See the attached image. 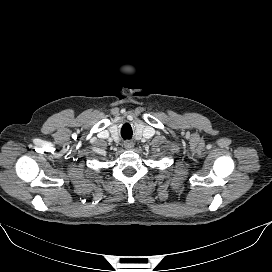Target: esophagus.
Segmentation results:
<instances>
[{"label": "esophagus", "mask_w": 272, "mask_h": 272, "mask_svg": "<svg viewBox=\"0 0 272 272\" xmlns=\"http://www.w3.org/2000/svg\"><path fill=\"white\" fill-rule=\"evenodd\" d=\"M133 146H134L133 142L126 141V142L124 143V147H125L126 149H128V150L132 149Z\"/></svg>", "instance_id": "obj_1"}]
</instances>
